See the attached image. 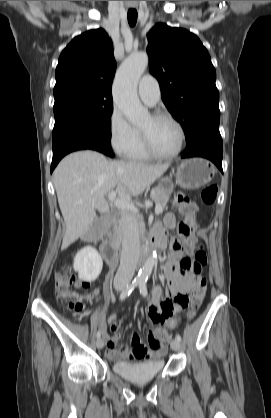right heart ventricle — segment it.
<instances>
[{
    "instance_id": "1",
    "label": "right heart ventricle",
    "mask_w": 271,
    "mask_h": 418,
    "mask_svg": "<svg viewBox=\"0 0 271 418\" xmlns=\"http://www.w3.org/2000/svg\"><path fill=\"white\" fill-rule=\"evenodd\" d=\"M136 130V140L130 151L127 153L126 157L131 160H147L151 156L145 150L141 132L139 129Z\"/></svg>"
}]
</instances>
